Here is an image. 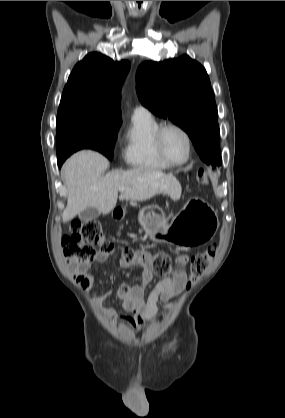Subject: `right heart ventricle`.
<instances>
[{
  "label": "right heart ventricle",
  "mask_w": 285,
  "mask_h": 418,
  "mask_svg": "<svg viewBox=\"0 0 285 418\" xmlns=\"http://www.w3.org/2000/svg\"><path fill=\"white\" fill-rule=\"evenodd\" d=\"M159 126L160 124L151 116L132 119L123 136V155L129 166L150 171L165 170L170 167L159 156L153 142Z\"/></svg>",
  "instance_id": "e07e8e85"
}]
</instances>
